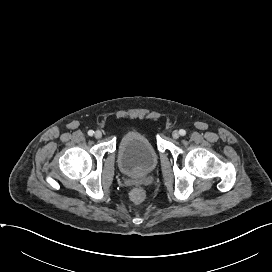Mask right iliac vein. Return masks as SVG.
<instances>
[{"label":"right iliac vein","mask_w":272,"mask_h":272,"mask_svg":"<svg viewBox=\"0 0 272 272\" xmlns=\"http://www.w3.org/2000/svg\"><path fill=\"white\" fill-rule=\"evenodd\" d=\"M96 139H100L102 137V132L101 131H96L94 134Z\"/></svg>","instance_id":"1"}]
</instances>
